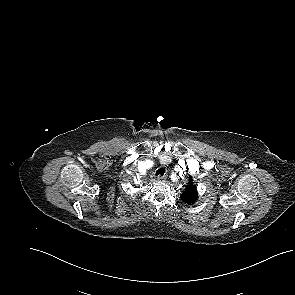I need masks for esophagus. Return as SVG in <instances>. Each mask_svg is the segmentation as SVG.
Listing matches in <instances>:
<instances>
[{
    "label": "esophagus",
    "instance_id": "esophagus-1",
    "mask_svg": "<svg viewBox=\"0 0 295 295\" xmlns=\"http://www.w3.org/2000/svg\"><path fill=\"white\" fill-rule=\"evenodd\" d=\"M157 179L158 180H165L166 179V175H159V176H157Z\"/></svg>",
    "mask_w": 295,
    "mask_h": 295
}]
</instances>
